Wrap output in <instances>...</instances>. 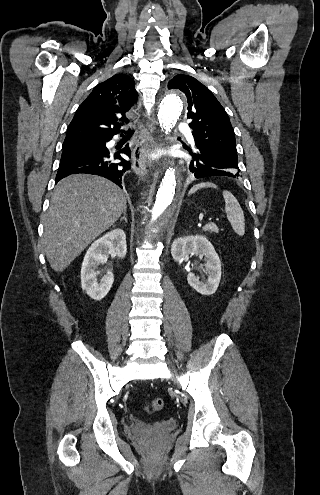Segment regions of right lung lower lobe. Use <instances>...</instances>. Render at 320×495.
<instances>
[{
    "label": "right lung lower lobe",
    "instance_id": "obj_1",
    "mask_svg": "<svg viewBox=\"0 0 320 495\" xmlns=\"http://www.w3.org/2000/svg\"><path fill=\"white\" fill-rule=\"evenodd\" d=\"M114 135L103 138V142L100 144L63 147L55 184L68 175L88 173L103 176L122 188V177L126 171L130 170L131 166L119 153L113 154L106 148V142L111 140ZM121 153L131 157L129 145H126ZM113 158L119 159L121 162L114 163L112 162Z\"/></svg>",
    "mask_w": 320,
    "mask_h": 495
}]
</instances>
